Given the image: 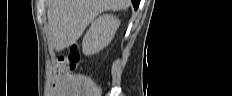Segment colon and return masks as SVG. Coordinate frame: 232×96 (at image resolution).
<instances>
[{"mask_svg":"<svg viewBox=\"0 0 232 96\" xmlns=\"http://www.w3.org/2000/svg\"><path fill=\"white\" fill-rule=\"evenodd\" d=\"M80 61V54L76 46H72L68 54L61 56L58 59V67L68 72H72L77 68Z\"/></svg>","mask_w":232,"mask_h":96,"instance_id":"colon-1","label":"colon"}]
</instances>
